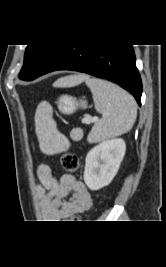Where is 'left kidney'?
Here are the masks:
<instances>
[{"label":"left kidney","mask_w":166,"mask_h":267,"mask_svg":"<svg viewBox=\"0 0 166 267\" xmlns=\"http://www.w3.org/2000/svg\"><path fill=\"white\" fill-rule=\"evenodd\" d=\"M126 151L123 139L104 141L92 148L85 161L84 182L90 190H99L112 181Z\"/></svg>","instance_id":"5707ae66"}]
</instances>
